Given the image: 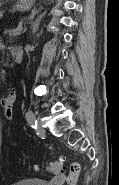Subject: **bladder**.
Masks as SVG:
<instances>
[{
    "label": "bladder",
    "instance_id": "bladder-1",
    "mask_svg": "<svg viewBox=\"0 0 119 185\" xmlns=\"http://www.w3.org/2000/svg\"><path fill=\"white\" fill-rule=\"evenodd\" d=\"M12 185H49L40 179L28 178L14 182Z\"/></svg>",
    "mask_w": 119,
    "mask_h": 185
}]
</instances>
